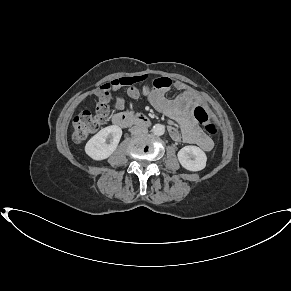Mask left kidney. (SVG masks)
Instances as JSON below:
<instances>
[{"mask_svg":"<svg viewBox=\"0 0 291 291\" xmlns=\"http://www.w3.org/2000/svg\"><path fill=\"white\" fill-rule=\"evenodd\" d=\"M181 166L189 171H200L205 168L207 156L197 146H185L177 154Z\"/></svg>","mask_w":291,"mask_h":291,"instance_id":"left-kidney-1","label":"left kidney"}]
</instances>
